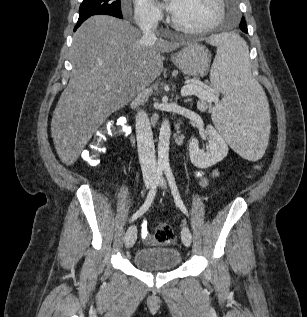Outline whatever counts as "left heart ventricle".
<instances>
[{"label": "left heart ventricle", "mask_w": 307, "mask_h": 317, "mask_svg": "<svg viewBox=\"0 0 307 317\" xmlns=\"http://www.w3.org/2000/svg\"><path fill=\"white\" fill-rule=\"evenodd\" d=\"M218 14L216 0H176L173 17L183 26L200 28L211 24Z\"/></svg>", "instance_id": "obj_1"}]
</instances>
